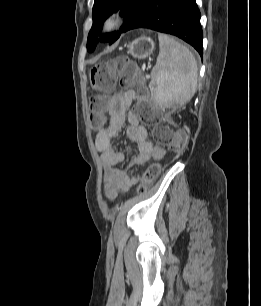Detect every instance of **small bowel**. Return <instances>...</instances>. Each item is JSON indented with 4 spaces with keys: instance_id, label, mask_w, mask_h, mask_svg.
Segmentation results:
<instances>
[{
    "instance_id": "obj_1",
    "label": "small bowel",
    "mask_w": 261,
    "mask_h": 306,
    "mask_svg": "<svg viewBox=\"0 0 261 306\" xmlns=\"http://www.w3.org/2000/svg\"><path fill=\"white\" fill-rule=\"evenodd\" d=\"M132 103L131 93L114 94L108 104L109 123L96 138V147L106 168V193L111 198L120 190H128L136 182V176L130 173L131 168L151 158L160 159L164 155L163 148L153 145L148 139V129L140 124L138 115L129 111ZM125 123H127L126 136L135 144L137 152L131 157L125 169H119L116 166L124 161L125 154L114 147L113 139Z\"/></svg>"
}]
</instances>
